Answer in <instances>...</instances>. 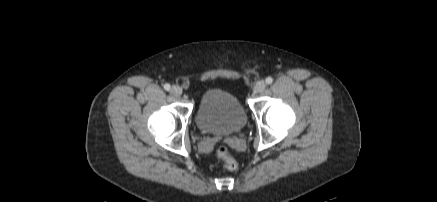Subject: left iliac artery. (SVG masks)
I'll return each mask as SVG.
<instances>
[{
	"label": "left iliac artery",
	"instance_id": "obj_1",
	"mask_svg": "<svg viewBox=\"0 0 437 202\" xmlns=\"http://www.w3.org/2000/svg\"><path fill=\"white\" fill-rule=\"evenodd\" d=\"M273 82V78L272 77H267L266 78V83L267 84H271Z\"/></svg>",
	"mask_w": 437,
	"mask_h": 202
}]
</instances>
